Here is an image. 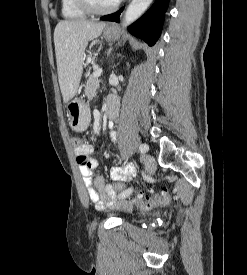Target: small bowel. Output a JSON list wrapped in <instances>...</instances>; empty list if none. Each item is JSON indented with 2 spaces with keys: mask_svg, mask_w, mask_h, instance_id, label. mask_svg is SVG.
<instances>
[{
  "mask_svg": "<svg viewBox=\"0 0 247 275\" xmlns=\"http://www.w3.org/2000/svg\"><path fill=\"white\" fill-rule=\"evenodd\" d=\"M109 103L116 104V101L110 100ZM109 137L114 139V133H110ZM92 152L93 148L89 145H83L82 148L76 150L77 163L84 184L87 187L90 200L99 209H105L113 205L128 207V203L118 200V195L112 186L106 184L101 176H95L93 174L94 169L97 167V161L92 157ZM134 176L135 169L132 165L113 167L111 170V178L116 183L124 184Z\"/></svg>",
  "mask_w": 247,
  "mask_h": 275,
  "instance_id": "c3829d8e",
  "label": "small bowel"
}]
</instances>
